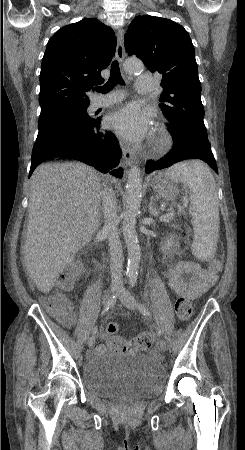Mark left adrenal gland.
Segmentation results:
<instances>
[{
  "label": "left adrenal gland",
  "instance_id": "left-adrenal-gland-1",
  "mask_svg": "<svg viewBox=\"0 0 245 450\" xmlns=\"http://www.w3.org/2000/svg\"><path fill=\"white\" fill-rule=\"evenodd\" d=\"M148 210H149V213H150L152 216H156L157 213H158V209L156 208V206H155V204H154V197H153V196H151V198H150Z\"/></svg>",
  "mask_w": 245,
  "mask_h": 450
}]
</instances>
